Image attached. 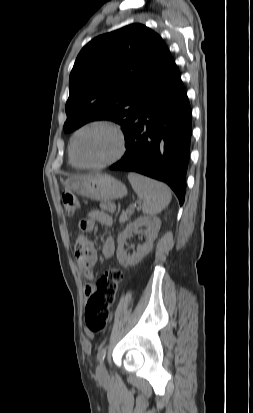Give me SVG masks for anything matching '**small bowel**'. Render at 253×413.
<instances>
[{
  "mask_svg": "<svg viewBox=\"0 0 253 413\" xmlns=\"http://www.w3.org/2000/svg\"><path fill=\"white\" fill-rule=\"evenodd\" d=\"M116 210L115 204L105 202L101 205V210H92L80 222V232L75 238L76 262L82 276L86 280L85 295L90 296L94 291L93 267L97 262V251L93 243L87 238L86 233L93 229L94 224L98 223L102 227H110L113 219L112 215ZM115 252V242L112 237L104 238L101 246V254L104 258H110Z\"/></svg>",
  "mask_w": 253,
  "mask_h": 413,
  "instance_id": "obj_1",
  "label": "small bowel"
}]
</instances>
